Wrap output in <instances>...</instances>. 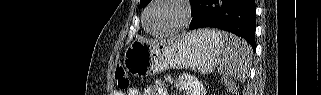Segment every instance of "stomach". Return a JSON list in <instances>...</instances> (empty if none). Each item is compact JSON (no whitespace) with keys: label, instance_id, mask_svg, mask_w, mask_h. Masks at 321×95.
Here are the masks:
<instances>
[{"label":"stomach","instance_id":"stomach-1","mask_svg":"<svg viewBox=\"0 0 321 95\" xmlns=\"http://www.w3.org/2000/svg\"><path fill=\"white\" fill-rule=\"evenodd\" d=\"M222 54V43L195 31L172 43L134 40L124 53V66L136 76H149L169 68L209 73Z\"/></svg>","mask_w":321,"mask_h":95}]
</instances>
